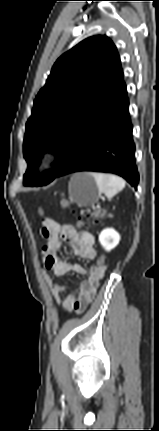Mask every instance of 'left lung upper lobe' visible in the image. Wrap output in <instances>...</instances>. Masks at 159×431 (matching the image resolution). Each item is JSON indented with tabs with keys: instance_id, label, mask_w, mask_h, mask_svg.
I'll use <instances>...</instances> for the list:
<instances>
[{
	"instance_id": "left-lung-upper-lobe-1",
	"label": "left lung upper lobe",
	"mask_w": 159,
	"mask_h": 431,
	"mask_svg": "<svg viewBox=\"0 0 159 431\" xmlns=\"http://www.w3.org/2000/svg\"><path fill=\"white\" fill-rule=\"evenodd\" d=\"M123 84L120 57L106 36L87 38L58 58L26 123L23 154L28 169L24 185L42 186L56 177L81 128ZM46 151L57 155L54 165L59 169L33 180L31 173Z\"/></svg>"
}]
</instances>
